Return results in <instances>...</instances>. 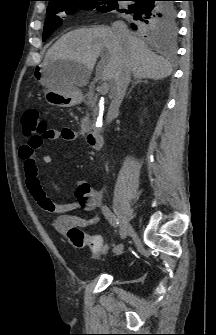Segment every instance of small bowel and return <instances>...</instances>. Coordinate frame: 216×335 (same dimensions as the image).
Segmentation results:
<instances>
[{"label": "small bowel", "instance_id": "small-bowel-1", "mask_svg": "<svg viewBox=\"0 0 216 335\" xmlns=\"http://www.w3.org/2000/svg\"><path fill=\"white\" fill-rule=\"evenodd\" d=\"M76 138L77 135L73 130L63 128L61 130H48L44 141H54L59 139L73 141ZM19 153L24 165L27 189L32 198L44 211L57 215V218L54 221V226L58 232L65 234L74 227L86 228L99 223L100 218L97 216L91 219H85L79 215L70 213L79 207H82L87 211H93L99 208L101 206V195L98 191H92V188L88 183H82L76 190V200L65 203L54 202L42 189L34 150H32L29 145H23L20 147ZM43 162L44 164L49 165L52 162V158L49 155H45L43 157ZM95 236L100 237L99 235ZM104 250L105 245L100 252L95 253L94 255H98Z\"/></svg>", "mask_w": 216, "mask_h": 335}]
</instances>
